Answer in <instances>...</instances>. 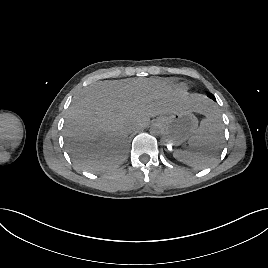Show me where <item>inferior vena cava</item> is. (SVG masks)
Wrapping results in <instances>:
<instances>
[{"label":"inferior vena cava","mask_w":268,"mask_h":268,"mask_svg":"<svg viewBox=\"0 0 268 268\" xmlns=\"http://www.w3.org/2000/svg\"><path fill=\"white\" fill-rule=\"evenodd\" d=\"M137 130V127H134V128H132L131 130H130V132H134V131H136Z\"/></svg>","instance_id":"obj_1"}]
</instances>
